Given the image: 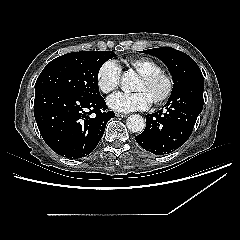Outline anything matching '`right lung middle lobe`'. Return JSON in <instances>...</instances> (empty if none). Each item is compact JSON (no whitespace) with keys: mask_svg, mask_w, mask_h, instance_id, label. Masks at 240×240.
<instances>
[{"mask_svg":"<svg viewBox=\"0 0 240 240\" xmlns=\"http://www.w3.org/2000/svg\"><path fill=\"white\" fill-rule=\"evenodd\" d=\"M114 56L111 51H80L57 57L40 73L35 90L55 88L85 97L99 96V69Z\"/></svg>","mask_w":240,"mask_h":240,"instance_id":"1","label":"right lung middle lobe"}]
</instances>
